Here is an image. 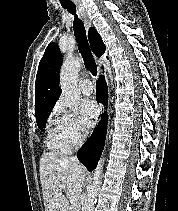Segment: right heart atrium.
I'll return each instance as SVG.
<instances>
[{"mask_svg":"<svg viewBox=\"0 0 178 211\" xmlns=\"http://www.w3.org/2000/svg\"><path fill=\"white\" fill-rule=\"evenodd\" d=\"M54 120L62 138L69 148L78 146L85 140L86 132L81 127L78 120L60 105L55 109Z\"/></svg>","mask_w":178,"mask_h":211,"instance_id":"d8ad5b80","label":"right heart atrium"}]
</instances>
